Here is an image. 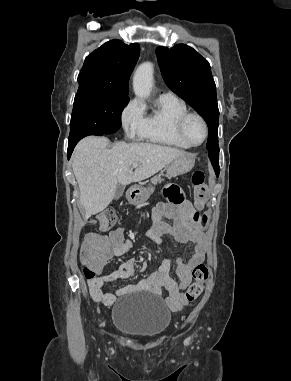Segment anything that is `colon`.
I'll list each match as a JSON object with an SVG mask.
<instances>
[{
	"label": "colon",
	"mask_w": 291,
	"mask_h": 381,
	"mask_svg": "<svg viewBox=\"0 0 291 381\" xmlns=\"http://www.w3.org/2000/svg\"><path fill=\"white\" fill-rule=\"evenodd\" d=\"M194 195L198 203L204 202L209 195V187L205 183L204 174L197 171L193 175ZM173 202H177L175 196L170 197ZM117 213L114 209H106L99 213L96 217V223L100 231L109 230L116 222ZM195 222H206V217L196 212L193 216ZM108 256L104 252L96 251L90 247H83L80 254V259L84 265V275L87 279L97 277L100 270L106 264ZM193 283L186 291V299L189 302L196 300L203 291L204 283L209 276V269L206 264L199 263L192 270Z\"/></svg>",
	"instance_id": "5ec220e1"
}]
</instances>
